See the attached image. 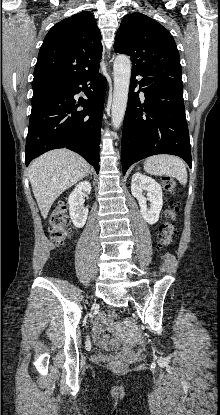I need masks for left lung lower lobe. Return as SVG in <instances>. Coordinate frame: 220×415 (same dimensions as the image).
Here are the masks:
<instances>
[{
	"label": "left lung lower lobe",
	"mask_w": 220,
	"mask_h": 415,
	"mask_svg": "<svg viewBox=\"0 0 220 415\" xmlns=\"http://www.w3.org/2000/svg\"><path fill=\"white\" fill-rule=\"evenodd\" d=\"M138 75L142 79L137 82ZM136 87L140 90L135 93ZM156 154L176 155L192 165L183 83L181 77L132 70L121 142L123 174L133 163Z\"/></svg>",
	"instance_id": "0a47b994"
}]
</instances>
